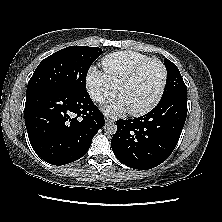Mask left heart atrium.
I'll return each mask as SVG.
<instances>
[{
    "label": "left heart atrium",
    "instance_id": "obj_1",
    "mask_svg": "<svg viewBox=\"0 0 222 222\" xmlns=\"http://www.w3.org/2000/svg\"><path fill=\"white\" fill-rule=\"evenodd\" d=\"M103 109L107 114L117 116L128 110V107L123 97L119 95L109 100Z\"/></svg>",
    "mask_w": 222,
    "mask_h": 222
}]
</instances>
